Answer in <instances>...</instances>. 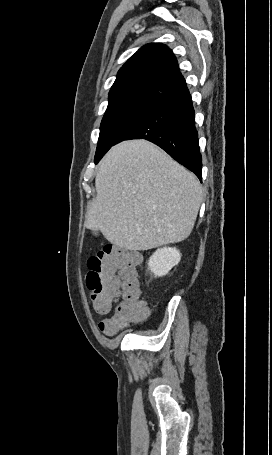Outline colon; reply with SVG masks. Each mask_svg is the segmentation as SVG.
<instances>
[{
	"label": "colon",
	"mask_w": 272,
	"mask_h": 455,
	"mask_svg": "<svg viewBox=\"0 0 272 455\" xmlns=\"http://www.w3.org/2000/svg\"><path fill=\"white\" fill-rule=\"evenodd\" d=\"M139 262L138 255L113 244L103 246L87 260L86 284L93 309L110 314L99 323L106 334H115L147 314L138 281Z\"/></svg>",
	"instance_id": "colon-1"
}]
</instances>
